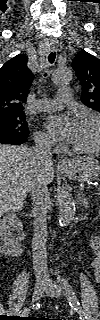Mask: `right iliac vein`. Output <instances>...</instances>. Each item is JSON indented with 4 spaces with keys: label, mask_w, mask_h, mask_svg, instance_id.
I'll return each mask as SVG.
<instances>
[{
    "label": "right iliac vein",
    "mask_w": 100,
    "mask_h": 320,
    "mask_svg": "<svg viewBox=\"0 0 100 320\" xmlns=\"http://www.w3.org/2000/svg\"><path fill=\"white\" fill-rule=\"evenodd\" d=\"M46 290V286L42 283H38L36 284L35 288H34V292H33V296H32V301H38L42 295L44 294Z\"/></svg>",
    "instance_id": "right-iliac-vein-1"
}]
</instances>
